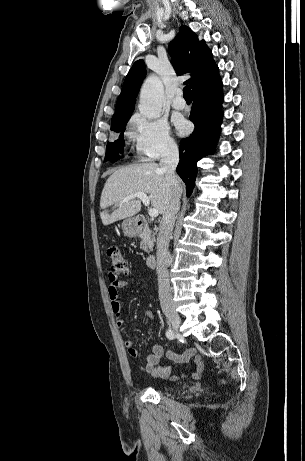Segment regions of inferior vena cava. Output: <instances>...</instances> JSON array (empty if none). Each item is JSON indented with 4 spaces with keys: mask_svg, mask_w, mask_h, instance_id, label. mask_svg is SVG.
Masks as SVG:
<instances>
[{
    "mask_svg": "<svg viewBox=\"0 0 305 461\" xmlns=\"http://www.w3.org/2000/svg\"><path fill=\"white\" fill-rule=\"evenodd\" d=\"M178 162V146L175 143L167 144L161 155L160 169L164 172L167 183L172 187V193L170 203L160 222L156 252L158 292L162 309H167L173 306L167 261L169 258V237L175 224L176 214L180 209L181 194L177 190L173 189L177 182L175 170Z\"/></svg>",
    "mask_w": 305,
    "mask_h": 461,
    "instance_id": "inferior-vena-cava-1",
    "label": "inferior vena cava"
}]
</instances>
